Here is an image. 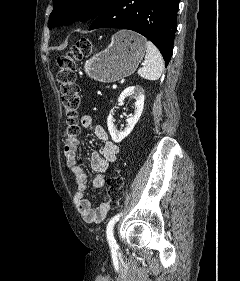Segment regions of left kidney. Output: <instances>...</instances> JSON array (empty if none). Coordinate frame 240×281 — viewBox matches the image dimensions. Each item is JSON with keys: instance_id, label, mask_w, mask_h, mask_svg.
<instances>
[{"instance_id": "5707ae66", "label": "left kidney", "mask_w": 240, "mask_h": 281, "mask_svg": "<svg viewBox=\"0 0 240 281\" xmlns=\"http://www.w3.org/2000/svg\"><path fill=\"white\" fill-rule=\"evenodd\" d=\"M143 89L139 86H131L127 87L119 96L118 103L122 104L124 102V99L127 96L134 95L135 98V111L134 115L127 119V126L123 131H117L114 126V119H113V109L110 111V114L107 118V126L109 133L112 137V140L116 143L121 142L125 137H127L131 131L133 130L134 126L140 119V116L142 114L143 108H144V94Z\"/></svg>"}]
</instances>
